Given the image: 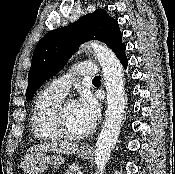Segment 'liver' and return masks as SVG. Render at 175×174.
I'll return each mask as SVG.
<instances>
[{
	"label": "liver",
	"mask_w": 175,
	"mask_h": 174,
	"mask_svg": "<svg viewBox=\"0 0 175 174\" xmlns=\"http://www.w3.org/2000/svg\"><path fill=\"white\" fill-rule=\"evenodd\" d=\"M78 150L77 144L72 143H43L28 149L30 154L37 152H54L56 154H72Z\"/></svg>",
	"instance_id": "liver-1"
}]
</instances>
